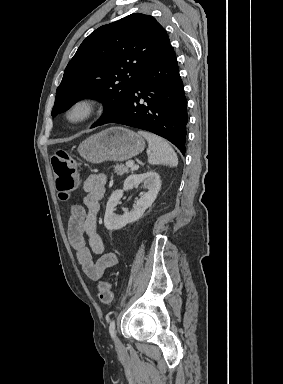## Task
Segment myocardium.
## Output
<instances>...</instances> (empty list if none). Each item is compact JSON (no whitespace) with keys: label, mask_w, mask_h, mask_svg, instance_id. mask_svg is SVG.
I'll list each match as a JSON object with an SVG mask.
<instances>
[{"label":"myocardium","mask_w":283,"mask_h":384,"mask_svg":"<svg viewBox=\"0 0 283 384\" xmlns=\"http://www.w3.org/2000/svg\"><path fill=\"white\" fill-rule=\"evenodd\" d=\"M97 111V102L89 97L74 100L64 112L67 124L78 126L89 121Z\"/></svg>","instance_id":"1"}]
</instances>
